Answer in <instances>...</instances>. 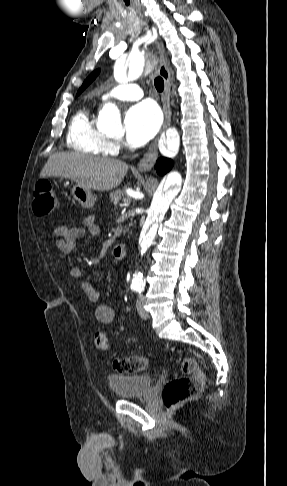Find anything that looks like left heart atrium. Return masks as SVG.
<instances>
[{"label": "left heart atrium", "mask_w": 287, "mask_h": 486, "mask_svg": "<svg viewBox=\"0 0 287 486\" xmlns=\"http://www.w3.org/2000/svg\"><path fill=\"white\" fill-rule=\"evenodd\" d=\"M161 115L151 102H142L131 107L124 118L125 138L128 145L140 147L158 131Z\"/></svg>", "instance_id": "left-heart-atrium-1"}]
</instances>
